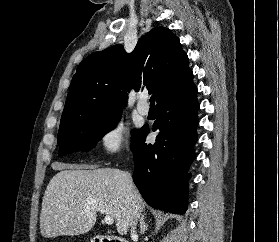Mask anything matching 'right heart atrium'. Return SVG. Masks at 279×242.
Returning a JSON list of instances; mask_svg holds the SVG:
<instances>
[{
    "label": "right heart atrium",
    "instance_id": "right-heart-atrium-1",
    "mask_svg": "<svg viewBox=\"0 0 279 242\" xmlns=\"http://www.w3.org/2000/svg\"><path fill=\"white\" fill-rule=\"evenodd\" d=\"M128 127L120 120H114L101 132L97 140V149L104 158L121 154L127 145Z\"/></svg>",
    "mask_w": 279,
    "mask_h": 242
}]
</instances>
